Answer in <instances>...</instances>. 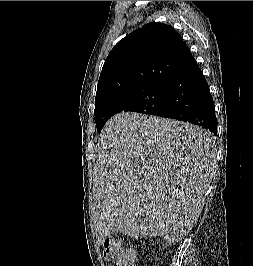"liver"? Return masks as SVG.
Instances as JSON below:
<instances>
[{
    "instance_id": "6515ba94",
    "label": "liver",
    "mask_w": 253,
    "mask_h": 266,
    "mask_svg": "<svg viewBox=\"0 0 253 266\" xmlns=\"http://www.w3.org/2000/svg\"><path fill=\"white\" fill-rule=\"evenodd\" d=\"M214 137L173 119L121 113L98 143L94 224L98 244L119 231L172 245L192 229L209 187Z\"/></svg>"
}]
</instances>
